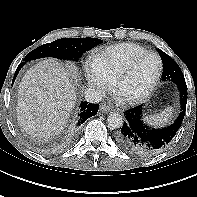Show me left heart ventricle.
<instances>
[{"instance_id": "b2bd125f", "label": "left heart ventricle", "mask_w": 197, "mask_h": 197, "mask_svg": "<svg viewBox=\"0 0 197 197\" xmlns=\"http://www.w3.org/2000/svg\"><path fill=\"white\" fill-rule=\"evenodd\" d=\"M158 70V61L153 56L141 59L131 74L121 84L118 93L122 97H133L143 93L151 84Z\"/></svg>"}]
</instances>
